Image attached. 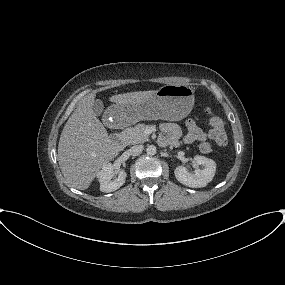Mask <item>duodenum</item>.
Segmentation results:
<instances>
[{"instance_id": "410a0bca", "label": "duodenum", "mask_w": 285, "mask_h": 285, "mask_svg": "<svg viewBox=\"0 0 285 285\" xmlns=\"http://www.w3.org/2000/svg\"><path fill=\"white\" fill-rule=\"evenodd\" d=\"M114 141H115L116 143H120V138H119V137H115V138H114Z\"/></svg>"}]
</instances>
